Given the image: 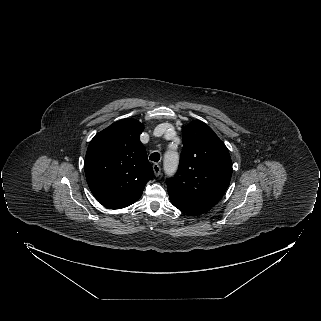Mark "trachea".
Listing matches in <instances>:
<instances>
[{"label":"trachea","instance_id":"3493384b","mask_svg":"<svg viewBox=\"0 0 321 321\" xmlns=\"http://www.w3.org/2000/svg\"><path fill=\"white\" fill-rule=\"evenodd\" d=\"M149 159L154 162H158L160 160V154L158 152H154L150 155Z\"/></svg>","mask_w":321,"mask_h":321}]
</instances>
